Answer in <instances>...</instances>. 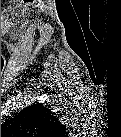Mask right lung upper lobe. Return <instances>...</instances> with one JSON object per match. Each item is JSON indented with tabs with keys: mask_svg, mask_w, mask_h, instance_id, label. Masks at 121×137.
I'll return each instance as SVG.
<instances>
[{
	"mask_svg": "<svg viewBox=\"0 0 121 137\" xmlns=\"http://www.w3.org/2000/svg\"><path fill=\"white\" fill-rule=\"evenodd\" d=\"M1 129L14 135H49L62 128L54 113L36 103L21 110L13 118L1 124Z\"/></svg>",
	"mask_w": 121,
	"mask_h": 137,
	"instance_id": "obj_1",
	"label": "right lung upper lobe"
}]
</instances>
